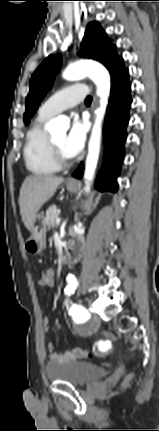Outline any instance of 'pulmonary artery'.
<instances>
[{
  "mask_svg": "<svg viewBox=\"0 0 159 431\" xmlns=\"http://www.w3.org/2000/svg\"><path fill=\"white\" fill-rule=\"evenodd\" d=\"M89 89L85 84L69 85L50 96L40 107L39 113L52 117L60 112L76 106L88 95Z\"/></svg>",
  "mask_w": 159,
  "mask_h": 431,
  "instance_id": "1",
  "label": "pulmonary artery"
}]
</instances>
